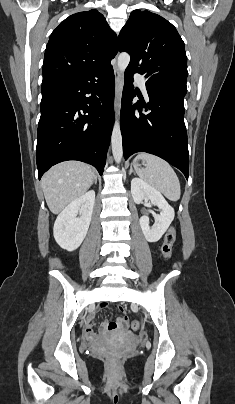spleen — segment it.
Here are the masks:
<instances>
[{
    "instance_id": "1",
    "label": "spleen",
    "mask_w": 235,
    "mask_h": 404,
    "mask_svg": "<svg viewBox=\"0 0 235 404\" xmlns=\"http://www.w3.org/2000/svg\"><path fill=\"white\" fill-rule=\"evenodd\" d=\"M136 159L146 162V168L139 169L138 175L149 185L159 190L171 201L180 199L179 179L172 167L163 159L148 153H140Z\"/></svg>"
}]
</instances>
